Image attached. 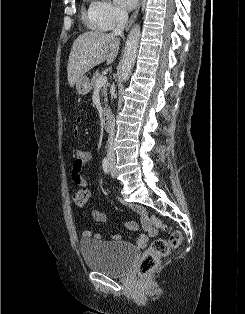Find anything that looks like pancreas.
Returning a JSON list of instances; mask_svg holds the SVG:
<instances>
[{"label":"pancreas","mask_w":245,"mask_h":314,"mask_svg":"<svg viewBox=\"0 0 245 314\" xmlns=\"http://www.w3.org/2000/svg\"><path fill=\"white\" fill-rule=\"evenodd\" d=\"M101 76L102 75L98 71L96 73H94V75L91 79V88H97L96 82H97V79ZM107 88H108V85H106V84L100 88V94H101V97L104 98L105 104L108 101V99H107Z\"/></svg>","instance_id":"pancreas-1"}]
</instances>
